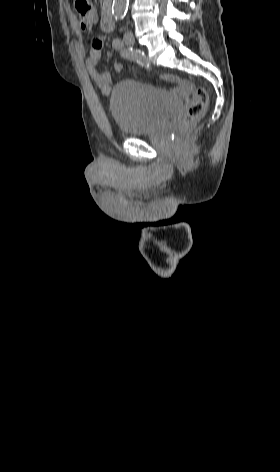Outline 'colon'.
<instances>
[{"instance_id":"1","label":"colon","mask_w":280,"mask_h":472,"mask_svg":"<svg viewBox=\"0 0 280 472\" xmlns=\"http://www.w3.org/2000/svg\"><path fill=\"white\" fill-rule=\"evenodd\" d=\"M75 8L79 16L80 26L85 31H90L96 21V10L89 0H76ZM208 95L202 87H197L192 96V101L183 116L180 131L185 136L191 127L196 124L207 108Z\"/></svg>"}]
</instances>
